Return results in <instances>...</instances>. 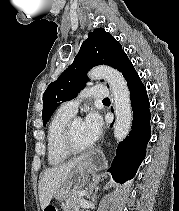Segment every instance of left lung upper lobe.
<instances>
[{
    "instance_id": "1",
    "label": "left lung upper lobe",
    "mask_w": 179,
    "mask_h": 211,
    "mask_svg": "<svg viewBox=\"0 0 179 211\" xmlns=\"http://www.w3.org/2000/svg\"><path fill=\"white\" fill-rule=\"evenodd\" d=\"M121 44L103 28L90 32L74 58L73 63L50 83L43 95V124L48 122L55 109L77 96L87 81L86 73L96 65L105 64L118 69L126 57Z\"/></svg>"
}]
</instances>
